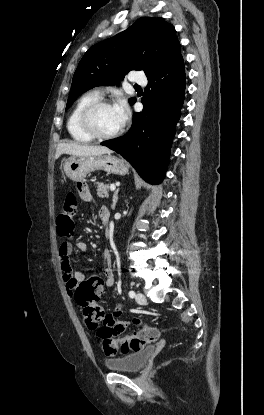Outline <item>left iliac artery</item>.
Masks as SVG:
<instances>
[{"label":"left iliac artery","mask_w":264,"mask_h":415,"mask_svg":"<svg viewBox=\"0 0 264 415\" xmlns=\"http://www.w3.org/2000/svg\"><path fill=\"white\" fill-rule=\"evenodd\" d=\"M129 297L130 298H134L135 297V292L133 290L129 291Z\"/></svg>","instance_id":"1"}]
</instances>
